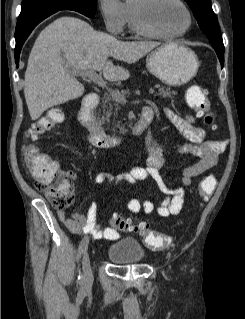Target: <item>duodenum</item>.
I'll list each match as a JSON object with an SVG mask.
<instances>
[{"label":"duodenum","instance_id":"1","mask_svg":"<svg viewBox=\"0 0 245 319\" xmlns=\"http://www.w3.org/2000/svg\"><path fill=\"white\" fill-rule=\"evenodd\" d=\"M98 103L99 96L97 93L93 92L86 95L81 102L78 119L81 125L89 131V141L93 146L98 148H111L117 145L121 138L107 134L95 119L93 111ZM151 120V115L142 114L140 119L132 127V134H142L148 128Z\"/></svg>","mask_w":245,"mask_h":319}]
</instances>
